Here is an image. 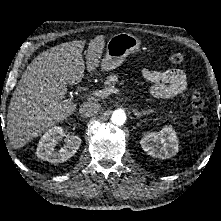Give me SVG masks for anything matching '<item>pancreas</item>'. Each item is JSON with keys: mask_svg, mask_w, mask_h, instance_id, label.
Wrapping results in <instances>:
<instances>
[{"mask_svg": "<svg viewBox=\"0 0 221 221\" xmlns=\"http://www.w3.org/2000/svg\"><path fill=\"white\" fill-rule=\"evenodd\" d=\"M118 82V75L112 74L107 77V80L104 82V89L111 88Z\"/></svg>", "mask_w": 221, "mask_h": 221, "instance_id": "1", "label": "pancreas"}]
</instances>
